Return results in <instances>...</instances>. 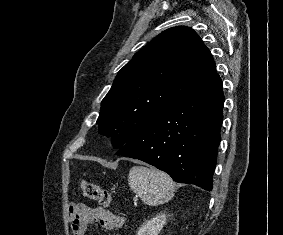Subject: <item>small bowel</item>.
I'll list each match as a JSON object with an SVG mask.
<instances>
[{
	"label": "small bowel",
	"instance_id": "obj_1",
	"mask_svg": "<svg viewBox=\"0 0 283 235\" xmlns=\"http://www.w3.org/2000/svg\"><path fill=\"white\" fill-rule=\"evenodd\" d=\"M68 218L73 235H85L89 224L94 221L99 222L101 227L108 231L121 228L125 222L124 217L120 215L84 204L69 205Z\"/></svg>",
	"mask_w": 283,
	"mask_h": 235
}]
</instances>
